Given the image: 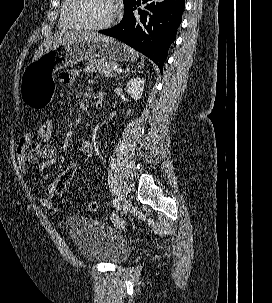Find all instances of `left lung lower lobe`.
Wrapping results in <instances>:
<instances>
[{
	"mask_svg": "<svg viewBox=\"0 0 272 303\" xmlns=\"http://www.w3.org/2000/svg\"><path fill=\"white\" fill-rule=\"evenodd\" d=\"M140 1L127 8L122 21L117 26L101 30L105 34L121 40L152 59L163 71L168 49L176 39V31L182 21L185 0H143L148 3L145 10H133Z\"/></svg>",
	"mask_w": 272,
	"mask_h": 303,
	"instance_id": "1",
	"label": "left lung lower lobe"
}]
</instances>
